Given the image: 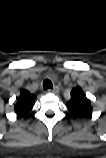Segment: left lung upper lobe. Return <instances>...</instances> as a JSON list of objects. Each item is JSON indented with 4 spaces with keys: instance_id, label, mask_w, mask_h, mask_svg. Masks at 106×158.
Returning <instances> with one entry per match:
<instances>
[{
    "instance_id": "5c2ea615",
    "label": "left lung upper lobe",
    "mask_w": 106,
    "mask_h": 158,
    "mask_svg": "<svg viewBox=\"0 0 106 158\" xmlns=\"http://www.w3.org/2000/svg\"><path fill=\"white\" fill-rule=\"evenodd\" d=\"M68 110L76 117L87 118L91 116V101L87 99L80 87L74 88L71 92V99L67 102Z\"/></svg>"
}]
</instances>
